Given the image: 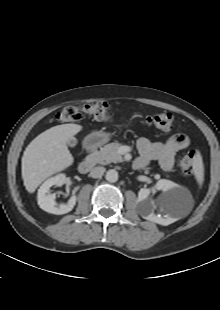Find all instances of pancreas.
I'll use <instances>...</instances> for the list:
<instances>
[{"label":"pancreas","instance_id":"1","mask_svg":"<svg viewBox=\"0 0 220 310\" xmlns=\"http://www.w3.org/2000/svg\"><path fill=\"white\" fill-rule=\"evenodd\" d=\"M120 147V143L113 142L105 145L99 151H95L89 155L90 159H93L95 163H99L102 165L109 164L111 162H121L122 156L118 153V148Z\"/></svg>","mask_w":220,"mask_h":310}]
</instances>
